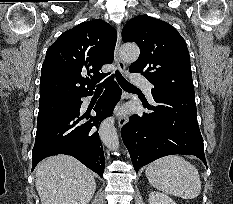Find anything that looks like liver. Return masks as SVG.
Instances as JSON below:
<instances>
[{"label":"liver","instance_id":"obj_1","mask_svg":"<svg viewBox=\"0 0 233 204\" xmlns=\"http://www.w3.org/2000/svg\"><path fill=\"white\" fill-rule=\"evenodd\" d=\"M35 185L41 204H88L96 190L92 171L68 155L41 161Z\"/></svg>","mask_w":233,"mask_h":204}]
</instances>
